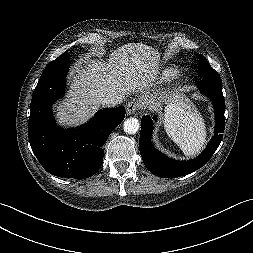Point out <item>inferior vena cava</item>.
I'll return each instance as SVG.
<instances>
[{
  "mask_svg": "<svg viewBox=\"0 0 253 253\" xmlns=\"http://www.w3.org/2000/svg\"><path fill=\"white\" fill-rule=\"evenodd\" d=\"M99 103L105 107H115L120 103V99L116 97H100Z\"/></svg>",
  "mask_w": 253,
  "mask_h": 253,
  "instance_id": "602c4592",
  "label": "inferior vena cava"
}]
</instances>
